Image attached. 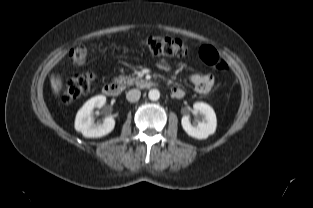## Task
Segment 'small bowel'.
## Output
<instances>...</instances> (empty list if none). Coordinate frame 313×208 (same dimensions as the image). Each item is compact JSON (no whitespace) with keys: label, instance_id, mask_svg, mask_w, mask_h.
<instances>
[{"label":"small bowel","instance_id":"c3829d8e","mask_svg":"<svg viewBox=\"0 0 313 208\" xmlns=\"http://www.w3.org/2000/svg\"><path fill=\"white\" fill-rule=\"evenodd\" d=\"M160 68L163 70L168 69L166 63H160ZM189 81L194 86V89L199 94H208L214 86V78L212 75H202L198 73H193L189 75ZM172 96L181 99L185 96V91L181 87H173Z\"/></svg>","mask_w":313,"mask_h":208}]
</instances>
